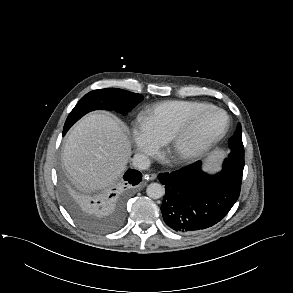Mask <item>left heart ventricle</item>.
<instances>
[{"label": "left heart ventricle", "instance_id": "b2bd125f", "mask_svg": "<svg viewBox=\"0 0 293 293\" xmlns=\"http://www.w3.org/2000/svg\"><path fill=\"white\" fill-rule=\"evenodd\" d=\"M223 124L224 117L222 114L215 111L207 112L198 120L192 129L185 141V147H193L206 141L217 133Z\"/></svg>", "mask_w": 293, "mask_h": 293}]
</instances>
